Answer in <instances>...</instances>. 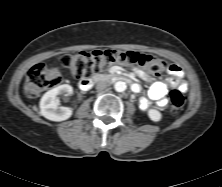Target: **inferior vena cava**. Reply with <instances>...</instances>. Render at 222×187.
<instances>
[{
	"label": "inferior vena cava",
	"mask_w": 222,
	"mask_h": 187,
	"mask_svg": "<svg viewBox=\"0 0 222 187\" xmlns=\"http://www.w3.org/2000/svg\"><path fill=\"white\" fill-rule=\"evenodd\" d=\"M107 87H108V83L105 82V81H99V82L96 84V89H97L98 91H103V90H105Z\"/></svg>",
	"instance_id": "602c4592"
}]
</instances>
